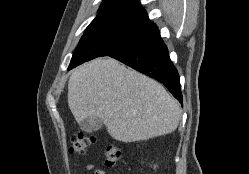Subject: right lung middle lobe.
<instances>
[{
	"instance_id": "obj_1",
	"label": "right lung middle lobe",
	"mask_w": 249,
	"mask_h": 174,
	"mask_svg": "<svg viewBox=\"0 0 249 174\" xmlns=\"http://www.w3.org/2000/svg\"><path fill=\"white\" fill-rule=\"evenodd\" d=\"M151 28L137 25H117L85 30L73 53L68 70L100 56H112L144 42Z\"/></svg>"
}]
</instances>
